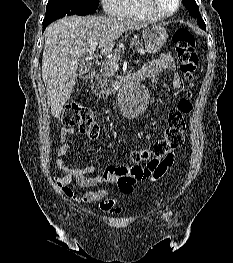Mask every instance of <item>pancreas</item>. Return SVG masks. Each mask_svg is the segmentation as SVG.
Returning <instances> with one entry per match:
<instances>
[{"mask_svg":"<svg viewBox=\"0 0 233 263\" xmlns=\"http://www.w3.org/2000/svg\"><path fill=\"white\" fill-rule=\"evenodd\" d=\"M130 46L134 47L136 50L143 48V43L139 39H133ZM121 49H115L113 55L109 61H106L101 66V74L96 77L97 83L95 88L100 89L99 94L105 95L106 97L113 91L108 87L109 78L114 75V69L110 66L111 61H117L120 57Z\"/></svg>","mask_w":233,"mask_h":263,"instance_id":"pancreas-1","label":"pancreas"}]
</instances>
